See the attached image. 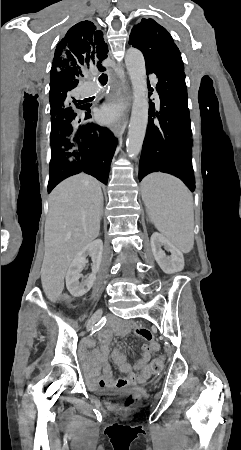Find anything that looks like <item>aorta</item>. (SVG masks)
<instances>
[{"instance_id":"obj_1","label":"aorta","mask_w":241,"mask_h":450,"mask_svg":"<svg viewBox=\"0 0 241 450\" xmlns=\"http://www.w3.org/2000/svg\"><path fill=\"white\" fill-rule=\"evenodd\" d=\"M126 67L132 82L133 105L127 138V153L130 158L138 156L142 149L148 124V87L143 54L130 48L125 56Z\"/></svg>"}]
</instances>
